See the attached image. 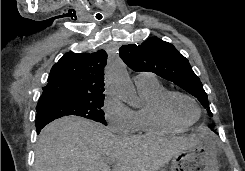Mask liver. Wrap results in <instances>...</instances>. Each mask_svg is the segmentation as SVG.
<instances>
[{
	"mask_svg": "<svg viewBox=\"0 0 245 171\" xmlns=\"http://www.w3.org/2000/svg\"><path fill=\"white\" fill-rule=\"evenodd\" d=\"M201 137H121L101 124L67 116L40 133L34 171H111L109 160L116 161L112 171H158Z\"/></svg>",
	"mask_w": 245,
	"mask_h": 171,
	"instance_id": "6515ba94",
	"label": "liver"
}]
</instances>
